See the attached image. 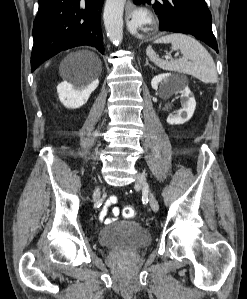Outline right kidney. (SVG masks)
I'll list each match as a JSON object with an SVG mask.
<instances>
[{"label":"right kidney","mask_w":247,"mask_h":299,"mask_svg":"<svg viewBox=\"0 0 247 299\" xmlns=\"http://www.w3.org/2000/svg\"><path fill=\"white\" fill-rule=\"evenodd\" d=\"M98 78L87 85L76 86L64 81L57 86L60 101L67 108H79L89 99L91 93L98 87Z\"/></svg>","instance_id":"ca27d5eb"}]
</instances>
